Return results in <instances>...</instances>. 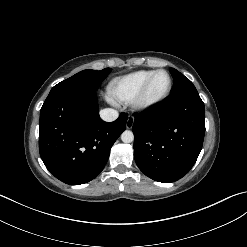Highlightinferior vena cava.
<instances>
[{
  "label": "inferior vena cava",
  "mask_w": 247,
  "mask_h": 247,
  "mask_svg": "<svg viewBox=\"0 0 247 247\" xmlns=\"http://www.w3.org/2000/svg\"><path fill=\"white\" fill-rule=\"evenodd\" d=\"M119 114L116 110L106 108L100 111V117L106 122H112L118 118Z\"/></svg>",
  "instance_id": "inferior-vena-cava-1"
}]
</instances>
